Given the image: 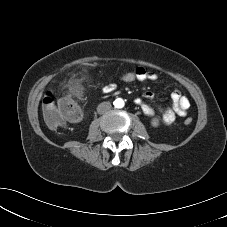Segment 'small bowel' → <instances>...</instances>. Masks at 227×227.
<instances>
[{
	"mask_svg": "<svg viewBox=\"0 0 227 227\" xmlns=\"http://www.w3.org/2000/svg\"><path fill=\"white\" fill-rule=\"evenodd\" d=\"M136 70L139 75L138 81H154L158 78L156 73L148 71L143 67H138L136 68ZM115 89L116 85L113 83L107 84L102 88L104 93H110ZM153 97L154 94L150 91H147L143 94V99L137 98L135 100V103L141 107L142 111L147 116H153L155 111L149 104L144 101V99L150 100ZM171 101L172 105L170 107L158 108L159 119L165 125H171L175 121L176 116H185L187 109L190 107L188 98L178 91H175L171 94Z\"/></svg>",
	"mask_w": 227,
	"mask_h": 227,
	"instance_id": "small-bowel-1",
	"label": "small bowel"
}]
</instances>
